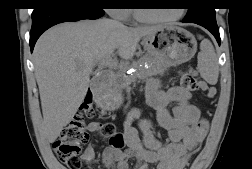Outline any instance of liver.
Segmentation results:
<instances>
[{"label":"liver","instance_id":"1","mask_svg":"<svg viewBox=\"0 0 252 169\" xmlns=\"http://www.w3.org/2000/svg\"><path fill=\"white\" fill-rule=\"evenodd\" d=\"M161 27H127L106 18L81 20L56 25L38 39L33 64L49 142L73 119L100 60L115 51L124 60L132 59L140 39Z\"/></svg>","mask_w":252,"mask_h":169}]
</instances>
